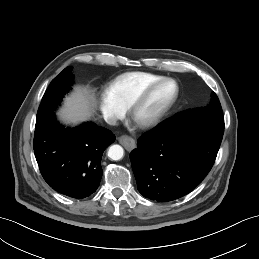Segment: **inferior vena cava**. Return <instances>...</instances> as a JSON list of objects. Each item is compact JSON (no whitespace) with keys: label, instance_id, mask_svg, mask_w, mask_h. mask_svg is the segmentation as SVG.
Instances as JSON below:
<instances>
[{"label":"inferior vena cava","instance_id":"obj_1","mask_svg":"<svg viewBox=\"0 0 259 259\" xmlns=\"http://www.w3.org/2000/svg\"><path fill=\"white\" fill-rule=\"evenodd\" d=\"M105 121L109 124V125H116L117 124V119L114 116H107L105 118Z\"/></svg>","mask_w":259,"mask_h":259}]
</instances>
